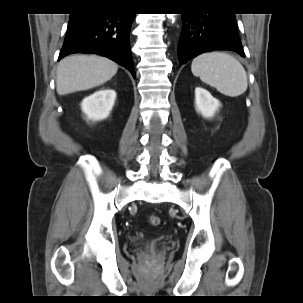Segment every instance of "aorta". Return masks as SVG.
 <instances>
[{"instance_id": "762f6f07", "label": "aorta", "mask_w": 303, "mask_h": 303, "mask_svg": "<svg viewBox=\"0 0 303 303\" xmlns=\"http://www.w3.org/2000/svg\"><path fill=\"white\" fill-rule=\"evenodd\" d=\"M175 16H176V14H168V19L171 20V21H174Z\"/></svg>"}]
</instances>
